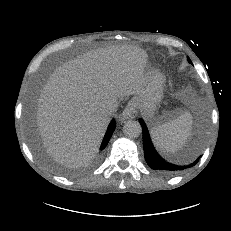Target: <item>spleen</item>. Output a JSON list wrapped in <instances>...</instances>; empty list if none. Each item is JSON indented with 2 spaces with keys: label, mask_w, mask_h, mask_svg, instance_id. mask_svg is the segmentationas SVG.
<instances>
[{
  "label": "spleen",
  "mask_w": 231,
  "mask_h": 231,
  "mask_svg": "<svg viewBox=\"0 0 231 231\" xmlns=\"http://www.w3.org/2000/svg\"><path fill=\"white\" fill-rule=\"evenodd\" d=\"M192 115L189 112L151 128V137L156 148L163 153H173L187 141L192 129Z\"/></svg>",
  "instance_id": "obj_1"
}]
</instances>
